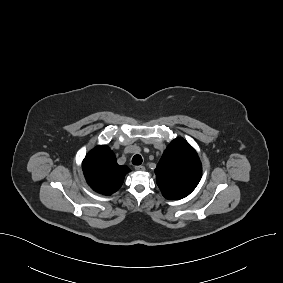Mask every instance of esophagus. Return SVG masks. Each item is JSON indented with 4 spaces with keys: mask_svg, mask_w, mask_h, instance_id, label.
Returning a JSON list of instances; mask_svg holds the SVG:
<instances>
[{
    "mask_svg": "<svg viewBox=\"0 0 283 283\" xmlns=\"http://www.w3.org/2000/svg\"><path fill=\"white\" fill-rule=\"evenodd\" d=\"M135 170H137V171H144L145 167L142 166V165H138V166H135Z\"/></svg>",
    "mask_w": 283,
    "mask_h": 283,
    "instance_id": "esophagus-1",
    "label": "esophagus"
}]
</instances>
